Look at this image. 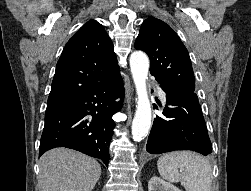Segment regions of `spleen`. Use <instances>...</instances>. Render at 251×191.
I'll return each mask as SVG.
<instances>
[{"label":"spleen","mask_w":251,"mask_h":191,"mask_svg":"<svg viewBox=\"0 0 251 191\" xmlns=\"http://www.w3.org/2000/svg\"><path fill=\"white\" fill-rule=\"evenodd\" d=\"M157 165L163 179L181 181L186 191H210L211 189L212 167L208 159L195 151L163 153Z\"/></svg>","instance_id":"spleen-1"}]
</instances>
